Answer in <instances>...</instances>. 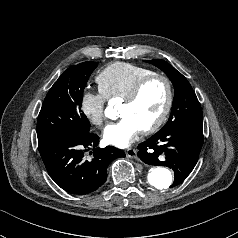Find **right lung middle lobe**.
Instances as JSON below:
<instances>
[{
	"label": "right lung middle lobe",
	"mask_w": 238,
	"mask_h": 238,
	"mask_svg": "<svg viewBox=\"0 0 238 238\" xmlns=\"http://www.w3.org/2000/svg\"><path fill=\"white\" fill-rule=\"evenodd\" d=\"M96 67L97 63L90 61L71 66L50 88L37 121L39 146L90 132L80 107L85 85Z\"/></svg>",
	"instance_id": "1"
}]
</instances>
